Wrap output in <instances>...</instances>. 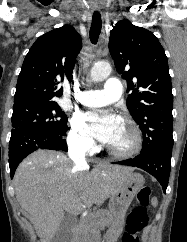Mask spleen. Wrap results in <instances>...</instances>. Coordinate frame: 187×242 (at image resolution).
Returning a JSON list of instances; mask_svg holds the SVG:
<instances>
[{
  "mask_svg": "<svg viewBox=\"0 0 187 242\" xmlns=\"http://www.w3.org/2000/svg\"><path fill=\"white\" fill-rule=\"evenodd\" d=\"M157 204H158L157 199H153V200H152V205H153L154 207H156V206H157Z\"/></svg>",
  "mask_w": 187,
  "mask_h": 242,
  "instance_id": "spleen-1",
  "label": "spleen"
}]
</instances>
